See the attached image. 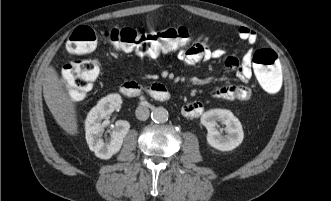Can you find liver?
<instances>
[{
  "mask_svg": "<svg viewBox=\"0 0 331 201\" xmlns=\"http://www.w3.org/2000/svg\"><path fill=\"white\" fill-rule=\"evenodd\" d=\"M43 96L57 124L66 133L76 135L78 133V123L75 104L53 66H49L45 70Z\"/></svg>",
  "mask_w": 331,
  "mask_h": 201,
  "instance_id": "6515ba94",
  "label": "liver"
}]
</instances>
